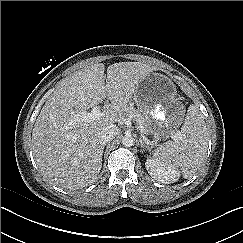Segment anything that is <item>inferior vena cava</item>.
<instances>
[{
	"instance_id": "obj_1",
	"label": "inferior vena cava",
	"mask_w": 243,
	"mask_h": 243,
	"mask_svg": "<svg viewBox=\"0 0 243 243\" xmlns=\"http://www.w3.org/2000/svg\"><path fill=\"white\" fill-rule=\"evenodd\" d=\"M118 133H119V128L116 125L111 124L109 126H106L101 131V135H100L101 141L104 144H106L112 141L118 135Z\"/></svg>"
}]
</instances>
